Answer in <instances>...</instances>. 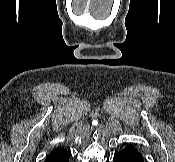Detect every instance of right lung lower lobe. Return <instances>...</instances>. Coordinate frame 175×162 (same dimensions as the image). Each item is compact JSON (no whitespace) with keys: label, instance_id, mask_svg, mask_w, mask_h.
Returning a JSON list of instances; mask_svg holds the SVG:
<instances>
[{"label":"right lung lower lobe","instance_id":"98d812e1","mask_svg":"<svg viewBox=\"0 0 175 162\" xmlns=\"http://www.w3.org/2000/svg\"><path fill=\"white\" fill-rule=\"evenodd\" d=\"M71 153L64 148H56L47 155L45 162H69Z\"/></svg>","mask_w":175,"mask_h":162}]
</instances>
